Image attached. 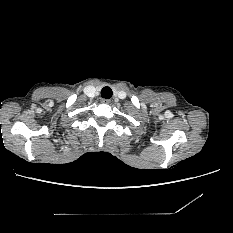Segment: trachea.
Instances as JSON below:
<instances>
[{"instance_id":"trachea-1","label":"trachea","mask_w":233,"mask_h":233,"mask_svg":"<svg viewBox=\"0 0 233 233\" xmlns=\"http://www.w3.org/2000/svg\"><path fill=\"white\" fill-rule=\"evenodd\" d=\"M112 94H113L112 89L108 86L103 87L101 90L102 98L110 99L112 97Z\"/></svg>"}]
</instances>
